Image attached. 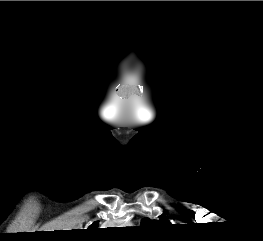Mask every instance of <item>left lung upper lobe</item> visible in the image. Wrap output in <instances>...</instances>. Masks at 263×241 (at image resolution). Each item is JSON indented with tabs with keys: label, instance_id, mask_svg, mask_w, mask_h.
I'll use <instances>...</instances> for the list:
<instances>
[{
	"label": "left lung upper lobe",
	"instance_id": "obj_1",
	"mask_svg": "<svg viewBox=\"0 0 263 241\" xmlns=\"http://www.w3.org/2000/svg\"><path fill=\"white\" fill-rule=\"evenodd\" d=\"M142 224L147 225V226L153 225V227H160L161 225H164V224H170V222L166 219L150 220L149 218H143Z\"/></svg>",
	"mask_w": 263,
	"mask_h": 241
}]
</instances>
